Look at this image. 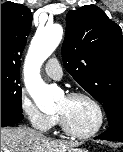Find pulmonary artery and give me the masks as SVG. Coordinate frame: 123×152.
Returning a JSON list of instances; mask_svg holds the SVG:
<instances>
[{
    "label": "pulmonary artery",
    "instance_id": "obj_1",
    "mask_svg": "<svg viewBox=\"0 0 123 152\" xmlns=\"http://www.w3.org/2000/svg\"><path fill=\"white\" fill-rule=\"evenodd\" d=\"M45 73L52 79L59 80L62 78L63 72L57 58H50L44 67Z\"/></svg>",
    "mask_w": 123,
    "mask_h": 152
}]
</instances>
